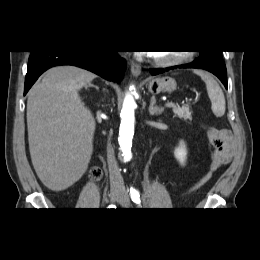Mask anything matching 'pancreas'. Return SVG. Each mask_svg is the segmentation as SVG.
Returning <instances> with one entry per match:
<instances>
[{
  "mask_svg": "<svg viewBox=\"0 0 260 260\" xmlns=\"http://www.w3.org/2000/svg\"><path fill=\"white\" fill-rule=\"evenodd\" d=\"M172 110L175 115H177L179 118L184 119V120H191V110L188 105H184L180 107L179 105H174L172 107Z\"/></svg>",
  "mask_w": 260,
  "mask_h": 260,
  "instance_id": "1",
  "label": "pancreas"
}]
</instances>
